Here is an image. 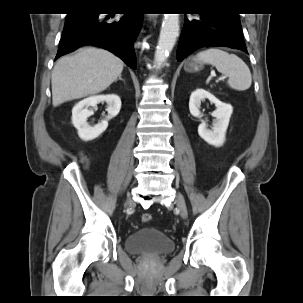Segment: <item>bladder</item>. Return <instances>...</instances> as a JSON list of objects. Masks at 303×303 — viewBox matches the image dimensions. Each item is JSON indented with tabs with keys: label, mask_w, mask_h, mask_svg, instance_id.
Segmentation results:
<instances>
[{
	"label": "bladder",
	"mask_w": 303,
	"mask_h": 303,
	"mask_svg": "<svg viewBox=\"0 0 303 303\" xmlns=\"http://www.w3.org/2000/svg\"><path fill=\"white\" fill-rule=\"evenodd\" d=\"M176 244L165 233L152 228L141 227L129 234L125 240V250L138 255L163 256L174 251Z\"/></svg>",
	"instance_id": "31cf9c89"
}]
</instances>
